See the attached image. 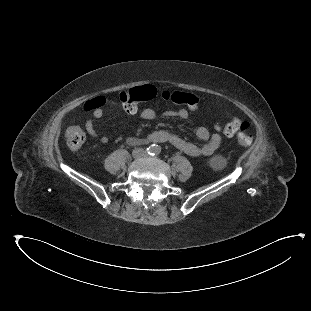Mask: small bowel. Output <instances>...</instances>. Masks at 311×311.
I'll return each instance as SVG.
<instances>
[{"mask_svg": "<svg viewBox=\"0 0 311 311\" xmlns=\"http://www.w3.org/2000/svg\"><path fill=\"white\" fill-rule=\"evenodd\" d=\"M167 116L177 117L183 120L189 118V113L186 109H179L176 111H169L166 113ZM94 117L98 120L103 118V111L97 110L94 112ZM140 117L143 120L150 121L156 117V111L152 108H145L141 111ZM85 128L87 133L91 137H97V132L94 127V123L92 120H87L85 123ZM196 136L198 139L205 141L203 145H196L192 142H189L182 137L168 132V131H156L149 134L146 138L142 139L147 143H159V142H167L183 151L184 153L194 156V157H206L212 155L221 143V136L218 133L211 134L209 130L204 126H199L196 128ZM100 141L102 143H106L108 138L106 136L100 137Z\"/></svg>", "mask_w": 311, "mask_h": 311, "instance_id": "1", "label": "small bowel"}]
</instances>
